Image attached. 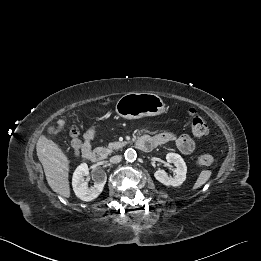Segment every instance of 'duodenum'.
<instances>
[{"mask_svg":"<svg viewBox=\"0 0 261 261\" xmlns=\"http://www.w3.org/2000/svg\"><path fill=\"white\" fill-rule=\"evenodd\" d=\"M137 146L142 151H150L154 148L152 143L140 139L137 141ZM82 156L91 162L98 163L105 159L106 152L104 150H85L82 152Z\"/></svg>","mask_w":261,"mask_h":261,"instance_id":"410a0bca","label":"duodenum"}]
</instances>
